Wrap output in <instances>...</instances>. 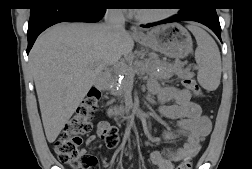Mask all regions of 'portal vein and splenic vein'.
Masks as SVG:
<instances>
[{
    "label": "portal vein and splenic vein",
    "mask_w": 252,
    "mask_h": 169,
    "mask_svg": "<svg viewBox=\"0 0 252 169\" xmlns=\"http://www.w3.org/2000/svg\"><path fill=\"white\" fill-rule=\"evenodd\" d=\"M114 68L121 74H129L130 76H133L135 73L133 68L127 66L124 63H116L114 64Z\"/></svg>",
    "instance_id": "obj_1"
}]
</instances>
